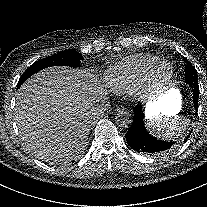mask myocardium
Instances as JSON below:
<instances>
[{
	"instance_id": "myocardium-1",
	"label": "myocardium",
	"mask_w": 207,
	"mask_h": 207,
	"mask_svg": "<svg viewBox=\"0 0 207 207\" xmlns=\"http://www.w3.org/2000/svg\"><path fill=\"white\" fill-rule=\"evenodd\" d=\"M164 66H169L170 67V72L169 74L163 78L162 80H157L156 75L160 71V69ZM175 70L174 66L170 61L163 60L158 62L148 73L147 76V90L151 94H158L161 91L165 90L168 88L174 78Z\"/></svg>"
}]
</instances>
